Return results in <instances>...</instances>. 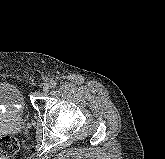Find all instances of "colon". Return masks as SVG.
Instances as JSON below:
<instances>
[{
  "label": "colon",
  "instance_id": "1",
  "mask_svg": "<svg viewBox=\"0 0 165 159\" xmlns=\"http://www.w3.org/2000/svg\"><path fill=\"white\" fill-rule=\"evenodd\" d=\"M19 143L17 139L11 135L0 137V159H7L17 153Z\"/></svg>",
  "mask_w": 165,
  "mask_h": 159
}]
</instances>
